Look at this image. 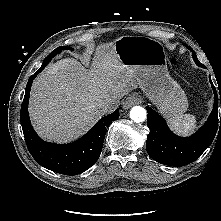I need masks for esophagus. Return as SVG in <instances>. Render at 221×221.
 <instances>
[{
	"label": "esophagus",
	"instance_id": "esophagus-1",
	"mask_svg": "<svg viewBox=\"0 0 221 221\" xmlns=\"http://www.w3.org/2000/svg\"><path fill=\"white\" fill-rule=\"evenodd\" d=\"M141 102V97L138 95H131L127 97L123 103V109L127 110L133 105L139 104Z\"/></svg>",
	"mask_w": 221,
	"mask_h": 221
}]
</instances>
